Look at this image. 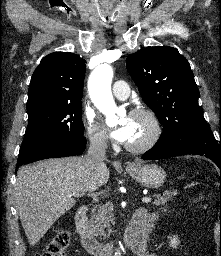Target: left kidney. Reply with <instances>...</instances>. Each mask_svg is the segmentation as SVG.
Segmentation results:
<instances>
[{"label": "left kidney", "mask_w": 221, "mask_h": 256, "mask_svg": "<svg viewBox=\"0 0 221 256\" xmlns=\"http://www.w3.org/2000/svg\"><path fill=\"white\" fill-rule=\"evenodd\" d=\"M169 238H170V245L175 248L177 246V244L179 243L178 237L173 236V237H169Z\"/></svg>", "instance_id": "5707ae66"}]
</instances>
